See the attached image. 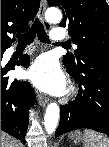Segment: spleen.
Returning <instances> with one entry per match:
<instances>
[{
    "label": "spleen",
    "mask_w": 109,
    "mask_h": 147,
    "mask_svg": "<svg viewBox=\"0 0 109 147\" xmlns=\"http://www.w3.org/2000/svg\"><path fill=\"white\" fill-rule=\"evenodd\" d=\"M84 147H109V138L93 130L84 131Z\"/></svg>",
    "instance_id": "spleen-1"
}]
</instances>
